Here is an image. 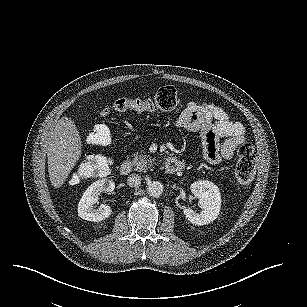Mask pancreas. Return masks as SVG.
I'll return each instance as SVG.
<instances>
[{
    "label": "pancreas",
    "instance_id": "cf45deb5",
    "mask_svg": "<svg viewBox=\"0 0 307 307\" xmlns=\"http://www.w3.org/2000/svg\"><path fill=\"white\" fill-rule=\"evenodd\" d=\"M132 165L135 171L146 172L147 170L153 168L156 163L154 159L145 153H137L133 156Z\"/></svg>",
    "mask_w": 307,
    "mask_h": 307
}]
</instances>
